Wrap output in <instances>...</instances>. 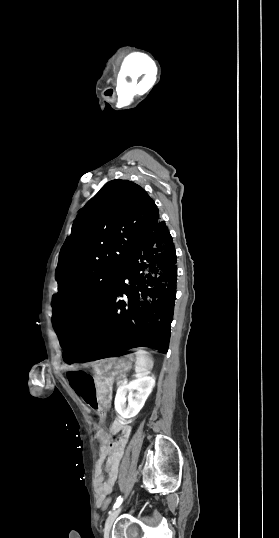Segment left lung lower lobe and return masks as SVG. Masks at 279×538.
<instances>
[{"label":"left lung lower lobe","instance_id":"obj_1","mask_svg":"<svg viewBox=\"0 0 279 538\" xmlns=\"http://www.w3.org/2000/svg\"><path fill=\"white\" fill-rule=\"evenodd\" d=\"M176 280L172 237L158 218L127 259L118 283L91 329L83 334L73 331L58 335L64 361L83 363L140 346L166 353ZM123 294L126 299L120 300Z\"/></svg>","mask_w":279,"mask_h":538}]
</instances>
